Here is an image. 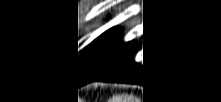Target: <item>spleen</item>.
<instances>
[{"label":"spleen","instance_id":"3e777b00","mask_svg":"<svg viewBox=\"0 0 221 102\" xmlns=\"http://www.w3.org/2000/svg\"><path fill=\"white\" fill-rule=\"evenodd\" d=\"M133 96H128L127 94H118L113 96L110 102H132Z\"/></svg>","mask_w":221,"mask_h":102}]
</instances>
